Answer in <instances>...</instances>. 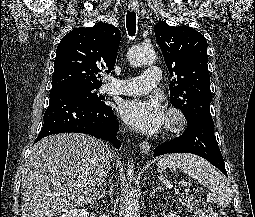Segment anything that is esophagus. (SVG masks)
<instances>
[{
    "mask_svg": "<svg viewBox=\"0 0 255 217\" xmlns=\"http://www.w3.org/2000/svg\"><path fill=\"white\" fill-rule=\"evenodd\" d=\"M128 9L130 11L138 12L139 11V5L138 2L131 1L128 4ZM150 144L146 141H143L139 144V148L142 154H148L150 151Z\"/></svg>",
    "mask_w": 255,
    "mask_h": 217,
    "instance_id": "1",
    "label": "esophagus"
}]
</instances>
